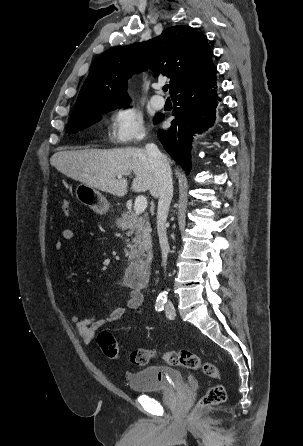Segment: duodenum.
<instances>
[{
	"mask_svg": "<svg viewBox=\"0 0 303 446\" xmlns=\"http://www.w3.org/2000/svg\"><path fill=\"white\" fill-rule=\"evenodd\" d=\"M150 263L147 259L131 262L126 272L127 282L136 288H142L148 282Z\"/></svg>",
	"mask_w": 303,
	"mask_h": 446,
	"instance_id": "obj_1",
	"label": "duodenum"
}]
</instances>
